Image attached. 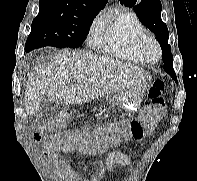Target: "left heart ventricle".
<instances>
[{"instance_id":"1","label":"left heart ventricle","mask_w":197,"mask_h":181,"mask_svg":"<svg viewBox=\"0 0 197 181\" xmlns=\"http://www.w3.org/2000/svg\"><path fill=\"white\" fill-rule=\"evenodd\" d=\"M147 52H148V54H149V56L151 57V58H155L156 57V49H155V47L152 45V44H148L147 45Z\"/></svg>"}]
</instances>
